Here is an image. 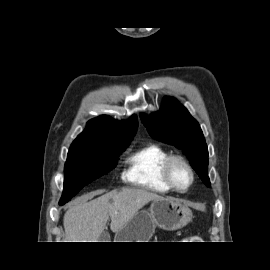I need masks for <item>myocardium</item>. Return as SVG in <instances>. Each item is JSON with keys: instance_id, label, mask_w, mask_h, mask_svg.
<instances>
[{"instance_id": "obj_1", "label": "myocardium", "mask_w": 270, "mask_h": 270, "mask_svg": "<svg viewBox=\"0 0 270 270\" xmlns=\"http://www.w3.org/2000/svg\"><path fill=\"white\" fill-rule=\"evenodd\" d=\"M176 164H180L183 167H185V169L188 171L189 175H190V181L189 184L186 187H179L173 177V168ZM163 176L164 179L167 183V185L175 192L178 193H185L187 192L192 185L194 184L195 181V173L194 170L191 166V164L183 157L180 155H170L166 161L164 162L163 165Z\"/></svg>"}]
</instances>
